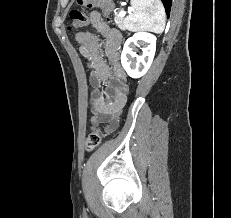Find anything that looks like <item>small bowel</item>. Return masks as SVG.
<instances>
[{
	"label": "small bowel",
	"instance_id": "obj_1",
	"mask_svg": "<svg viewBox=\"0 0 231 218\" xmlns=\"http://www.w3.org/2000/svg\"><path fill=\"white\" fill-rule=\"evenodd\" d=\"M90 23L105 38L104 43L95 33L87 30L78 32L75 38L90 70L92 123L104 118L107 122L106 132L111 133L118 128L129 94L127 75L120 64L118 52L122 38L118 31L104 23L98 12L90 14Z\"/></svg>",
	"mask_w": 231,
	"mask_h": 218
}]
</instances>
